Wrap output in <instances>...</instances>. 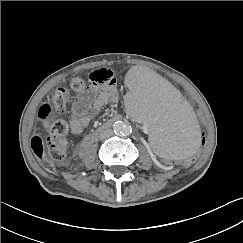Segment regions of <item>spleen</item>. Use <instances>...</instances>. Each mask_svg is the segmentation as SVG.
Returning <instances> with one entry per match:
<instances>
[{
    "mask_svg": "<svg viewBox=\"0 0 243 243\" xmlns=\"http://www.w3.org/2000/svg\"><path fill=\"white\" fill-rule=\"evenodd\" d=\"M123 102L129 117L143 123L159 156L181 159L196 149L199 129L191 103L166 76L154 70L135 73Z\"/></svg>",
    "mask_w": 243,
    "mask_h": 243,
    "instance_id": "obj_1",
    "label": "spleen"
}]
</instances>
